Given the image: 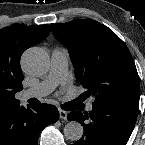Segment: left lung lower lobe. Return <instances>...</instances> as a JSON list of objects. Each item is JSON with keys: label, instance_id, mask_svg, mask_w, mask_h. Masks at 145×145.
I'll list each match as a JSON object with an SVG mask.
<instances>
[{"label": "left lung lower lobe", "instance_id": "obj_1", "mask_svg": "<svg viewBox=\"0 0 145 145\" xmlns=\"http://www.w3.org/2000/svg\"><path fill=\"white\" fill-rule=\"evenodd\" d=\"M139 103L114 102L93 104L88 112L74 111L69 121L84 127L81 139L72 145H126L137 120Z\"/></svg>", "mask_w": 145, "mask_h": 145}]
</instances>
